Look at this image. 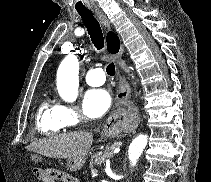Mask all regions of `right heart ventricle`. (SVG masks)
I'll use <instances>...</instances> for the list:
<instances>
[{
	"label": "right heart ventricle",
	"mask_w": 211,
	"mask_h": 182,
	"mask_svg": "<svg viewBox=\"0 0 211 182\" xmlns=\"http://www.w3.org/2000/svg\"><path fill=\"white\" fill-rule=\"evenodd\" d=\"M61 105L47 98L39 105L36 114V128L40 134L52 136L67 128Z\"/></svg>",
	"instance_id": "1"
}]
</instances>
